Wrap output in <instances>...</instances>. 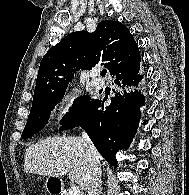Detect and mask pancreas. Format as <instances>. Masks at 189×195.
<instances>
[{"instance_id":"pancreas-1","label":"pancreas","mask_w":189,"mask_h":195,"mask_svg":"<svg viewBox=\"0 0 189 195\" xmlns=\"http://www.w3.org/2000/svg\"><path fill=\"white\" fill-rule=\"evenodd\" d=\"M63 195H69V193L68 192H65Z\"/></svg>"}]
</instances>
